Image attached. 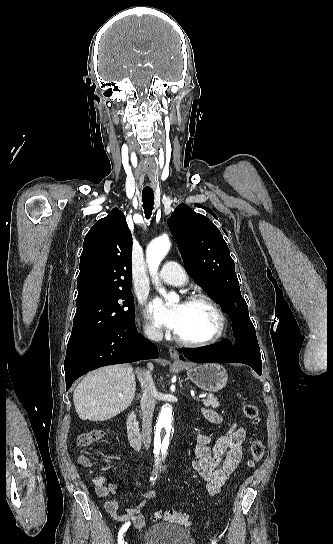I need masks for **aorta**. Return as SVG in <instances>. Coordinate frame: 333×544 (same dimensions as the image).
Returning <instances> with one entry per match:
<instances>
[{"instance_id": "762f6f07", "label": "aorta", "mask_w": 333, "mask_h": 544, "mask_svg": "<svg viewBox=\"0 0 333 544\" xmlns=\"http://www.w3.org/2000/svg\"><path fill=\"white\" fill-rule=\"evenodd\" d=\"M170 248V241L167 236H161L155 239L149 244L146 251V260L150 272L156 274L158 267L166 256ZM159 292L168 300V302H175L178 300V296L175 293L167 294L162 288ZM172 433V409L170 407H163L156 424L155 431V453L161 452L164 455L168 449V445L171 439Z\"/></svg>"}]
</instances>
